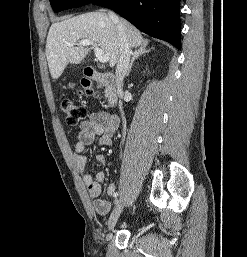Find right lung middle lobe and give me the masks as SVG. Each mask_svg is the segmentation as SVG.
Masks as SVG:
<instances>
[{
	"label": "right lung middle lobe",
	"instance_id": "obj_1",
	"mask_svg": "<svg viewBox=\"0 0 247 257\" xmlns=\"http://www.w3.org/2000/svg\"><path fill=\"white\" fill-rule=\"evenodd\" d=\"M94 0H50L54 11L59 12L68 8H76L87 5Z\"/></svg>",
	"mask_w": 247,
	"mask_h": 257
}]
</instances>
